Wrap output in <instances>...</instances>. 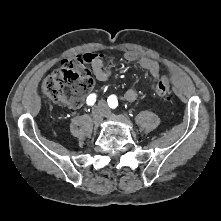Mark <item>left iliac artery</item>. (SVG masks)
<instances>
[{
  "mask_svg": "<svg viewBox=\"0 0 221 221\" xmlns=\"http://www.w3.org/2000/svg\"><path fill=\"white\" fill-rule=\"evenodd\" d=\"M110 108L115 109L118 106V100L115 95H110L107 99Z\"/></svg>",
  "mask_w": 221,
  "mask_h": 221,
  "instance_id": "obj_1",
  "label": "left iliac artery"
}]
</instances>
